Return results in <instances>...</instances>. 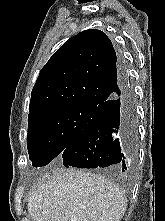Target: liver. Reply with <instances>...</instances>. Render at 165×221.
I'll return each instance as SVG.
<instances>
[{
	"mask_svg": "<svg viewBox=\"0 0 165 221\" xmlns=\"http://www.w3.org/2000/svg\"><path fill=\"white\" fill-rule=\"evenodd\" d=\"M127 202L99 174L53 167L28 199L33 221H121Z\"/></svg>",
	"mask_w": 165,
	"mask_h": 221,
	"instance_id": "obj_1",
	"label": "liver"
}]
</instances>
